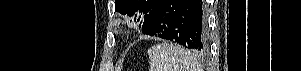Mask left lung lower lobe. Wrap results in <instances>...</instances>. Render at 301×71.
<instances>
[{"instance_id": "left-lung-lower-lobe-1", "label": "left lung lower lobe", "mask_w": 301, "mask_h": 71, "mask_svg": "<svg viewBox=\"0 0 301 71\" xmlns=\"http://www.w3.org/2000/svg\"><path fill=\"white\" fill-rule=\"evenodd\" d=\"M142 33L203 51L207 48L205 4L203 0H159L144 20Z\"/></svg>"}]
</instances>
